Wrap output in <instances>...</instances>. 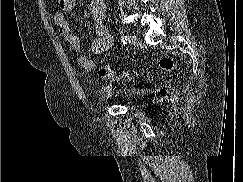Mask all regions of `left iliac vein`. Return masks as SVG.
Here are the masks:
<instances>
[{
	"label": "left iliac vein",
	"mask_w": 243,
	"mask_h": 182,
	"mask_svg": "<svg viewBox=\"0 0 243 182\" xmlns=\"http://www.w3.org/2000/svg\"><path fill=\"white\" fill-rule=\"evenodd\" d=\"M128 41H129V43L135 45V44L138 43L139 40H138V37L136 35L131 34L128 37Z\"/></svg>",
	"instance_id": "1"
}]
</instances>
